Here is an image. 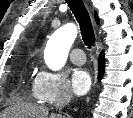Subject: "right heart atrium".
Instances as JSON below:
<instances>
[{
    "instance_id": "obj_1",
    "label": "right heart atrium",
    "mask_w": 133,
    "mask_h": 118,
    "mask_svg": "<svg viewBox=\"0 0 133 118\" xmlns=\"http://www.w3.org/2000/svg\"><path fill=\"white\" fill-rule=\"evenodd\" d=\"M34 89L38 100L45 104H52L71 96L67 79L61 73L46 69H41L36 74Z\"/></svg>"
}]
</instances>
